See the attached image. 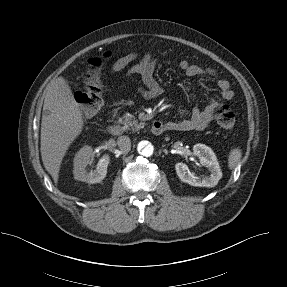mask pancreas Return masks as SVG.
Instances as JSON below:
<instances>
[{
	"label": "pancreas",
	"mask_w": 287,
	"mask_h": 287,
	"mask_svg": "<svg viewBox=\"0 0 287 287\" xmlns=\"http://www.w3.org/2000/svg\"><path fill=\"white\" fill-rule=\"evenodd\" d=\"M118 123L123 124L124 130L132 129L134 131L140 130L145 125V123L142 122L138 123V121L130 114H126L122 118H119Z\"/></svg>",
	"instance_id": "obj_1"
}]
</instances>
